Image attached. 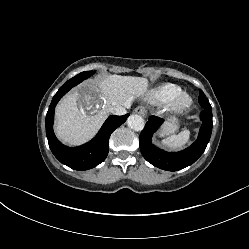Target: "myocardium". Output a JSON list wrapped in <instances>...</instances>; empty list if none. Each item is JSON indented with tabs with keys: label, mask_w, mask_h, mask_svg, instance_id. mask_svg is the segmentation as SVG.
I'll return each mask as SVG.
<instances>
[{
	"label": "myocardium",
	"mask_w": 249,
	"mask_h": 249,
	"mask_svg": "<svg viewBox=\"0 0 249 249\" xmlns=\"http://www.w3.org/2000/svg\"><path fill=\"white\" fill-rule=\"evenodd\" d=\"M192 105V98L187 93H180L171 103V109L181 113L188 110Z\"/></svg>",
	"instance_id": "f54148a6"
}]
</instances>
